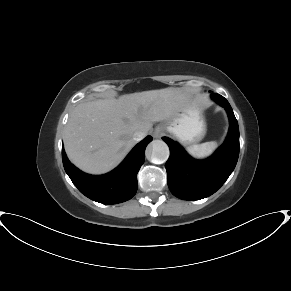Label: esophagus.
<instances>
[{"label":"esophagus","instance_id":"1","mask_svg":"<svg viewBox=\"0 0 291 291\" xmlns=\"http://www.w3.org/2000/svg\"><path fill=\"white\" fill-rule=\"evenodd\" d=\"M163 131L160 130V129H156L154 132H153V137L155 138H160L162 135H163Z\"/></svg>","mask_w":291,"mask_h":291}]
</instances>
